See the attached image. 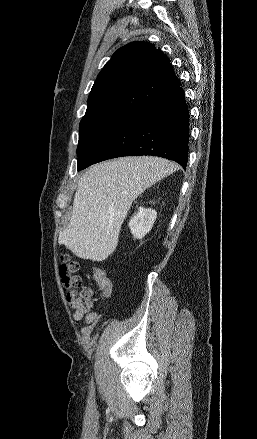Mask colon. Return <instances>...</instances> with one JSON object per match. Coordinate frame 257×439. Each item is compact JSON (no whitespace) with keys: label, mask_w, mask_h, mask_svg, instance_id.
Here are the masks:
<instances>
[{"label":"colon","mask_w":257,"mask_h":439,"mask_svg":"<svg viewBox=\"0 0 257 439\" xmlns=\"http://www.w3.org/2000/svg\"><path fill=\"white\" fill-rule=\"evenodd\" d=\"M80 265L68 255L60 256V275L67 289V300L76 309L85 312L87 309L86 292L83 289V281L78 274ZM95 281L103 294L111 291V282L102 270H96Z\"/></svg>","instance_id":"5ec220e1"}]
</instances>
